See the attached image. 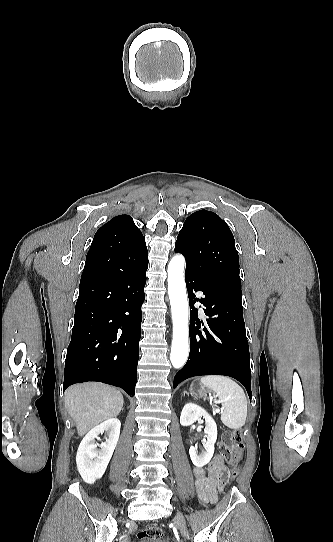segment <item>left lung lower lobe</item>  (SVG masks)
I'll return each mask as SVG.
<instances>
[{
    "mask_svg": "<svg viewBox=\"0 0 333 542\" xmlns=\"http://www.w3.org/2000/svg\"><path fill=\"white\" fill-rule=\"evenodd\" d=\"M185 281L190 304V353L186 365L176 374L173 387L187 378L201 375H226L246 388L251 399V369L246 337L241 290L237 287L207 280L186 269ZM202 291L204 298H195ZM199 301L208 318L198 319ZM201 324L205 325L201 328Z\"/></svg>",
    "mask_w": 333,
    "mask_h": 542,
    "instance_id": "0a47b994",
    "label": "left lung lower lobe"
}]
</instances>
